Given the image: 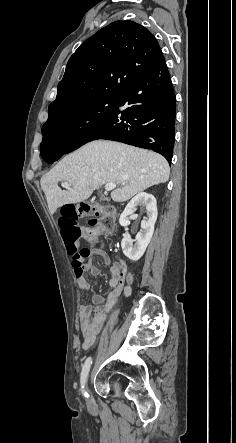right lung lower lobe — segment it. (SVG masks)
Instances as JSON below:
<instances>
[{
	"mask_svg": "<svg viewBox=\"0 0 236 443\" xmlns=\"http://www.w3.org/2000/svg\"><path fill=\"white\" fill-rule=\"evenodd\" d=\"M118 106H126V109L119 112ZM175 106L173 85L162 56L116 99L110 112L67 146L41 148V156L46 162L53 163L89 141L107 139L151 149L171 163Z\"/></svg>",
	"mask_w": 236,
	"mask_h": 443,
	"instance_id": "98d812e1",
	"label": "right lung lower lobe"
}]
</instances>
